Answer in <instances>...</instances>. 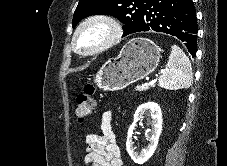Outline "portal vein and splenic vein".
<instances>
[{
    "mask_svg": "<svg viewBox=\"0 0 227 166\" xmlns=\"http://www.w3.org/2000/svg\"><path fill=\"white\" fill-rule=\"evenodd\" d=\"M155 82H156V80H153V81H151V82H146V83H144L142 86H143V87H147V86H149V85L154 84Z\"/></svg>",
    "mask_w": 227,
    "mask_h": 166,
    "instance_id": "1",
    "label": "portal vein and splenic vein"
}]
</instances>
